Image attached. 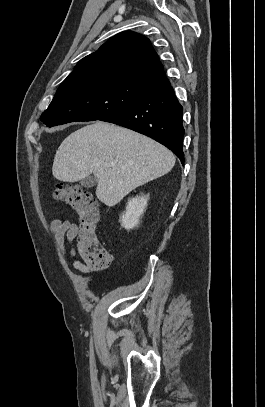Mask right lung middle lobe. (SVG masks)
Masks as SVG:
<instances>
[{
  "label": "right lung middle lobe",
  "instance_id": "dd1d6c3e",
  "mask_svg": "<svg viewBox=\"0 0 265 407\" xmlns=\"http://www.w3.org/2000/svg\"><path fill=\"white\" fill-rule=\"evenodd\" d=\"M154 88L102 74L73 76L63 81L40 119L49 127L74 121L101 120L137 104Z\"/></svg>",
  "mask_w": 265,
  "mask_h": 407
}]
</instances>
